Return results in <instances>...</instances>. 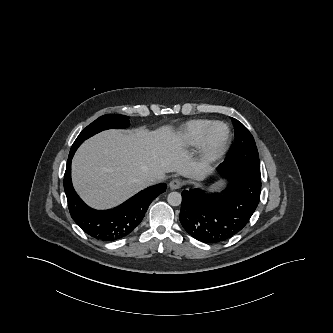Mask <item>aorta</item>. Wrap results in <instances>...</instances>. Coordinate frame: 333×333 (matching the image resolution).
I'll list each match as a JSON object with an SVG mask.
<instances>
[{
  "label": "aorta",
  "mask_w": 333,
  "mask_h": 333,
  "mask_svg": "<svg viewBox=\"0 0 333 333\" xmlns=\"http://www.w3.org/2000/svg\"><path fill=\"white\" fill-rule=\"evenodd\" d=\"M167 201L171 206H178L181 204L182 196L179 192H171L168 194Z\"/></svg>",
  "instance_id": "1"
}]
</instances>
